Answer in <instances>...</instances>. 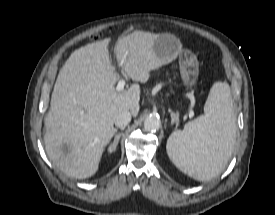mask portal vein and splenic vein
I'll return each instance as SVG.
<instances>
[{"label": "portal vein and splenic vein", "instance_id": "18ae733b", "mask_svg": "<svg viewBox=\"0 0 275 215\" xmlns=\"http://www.w3.org/2000/svg\"><path fill=\"white\" fill-rule=\"evenodd\" d=\"M124 86L125 80L121 79L116 86V91H122L124 89Z\"/></svg>", "mask_w": 275, "mask_h": 215}]
</instances>
